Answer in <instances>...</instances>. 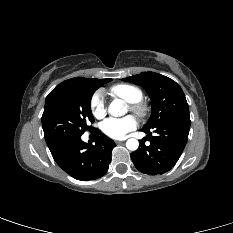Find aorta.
Instances as JSON below:
<instances>
[{
	"instance_id": "762f6f07",
	"label": "aorta",
	"mask_w": 233,
	"mask_h": 233,
	"mask_svg": "<svg viewBox=\"0 0 233 233\" xmlns=\"http://www.w3.org/2000/svg\"><path fill=\"white\" fill-rule=\"evenodd\" d=\"M108 113L114 117L123 116L125 114V110L121 100L112 101L109 105ZM126 147L131 151H135L139 147V142L135 138H130L126 142Z\"/></svg>"
}]
</instances>
